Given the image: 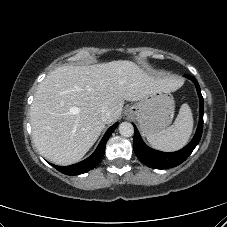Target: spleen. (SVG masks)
Instances as JSON below:
<instances>
[{
  "mask_svg": "<svg viewBox=\"0 0 227 227\" xmlns=\"http://www.w3.org/2000/svg\"><path fill=\"white\" fill-rule=\"evenodd\" d=\"M193 128V116L188 104H183L174 123L162 131L147 136L149 144L162 151H176L189 140Z\"/></svg>",
  "mask_w": 227,
  "mask_h": 227,
  "instance_id": "3e777b00",
  "label": "spleen"
}]
</instances>
